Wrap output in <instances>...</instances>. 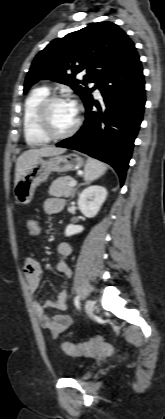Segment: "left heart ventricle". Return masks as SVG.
Returning a JSON list of instances; mask_svg holds the SVG:
<instances>
[{
	"label": "left heart ventricle",
	"instance_id": "obj_1",
	"mask_svg": "<svg viewBox=\"0 0 165 419\" xmlns=\"http://www.w3.org/2000/svg\"><path fill=\"white\" fill-rule=\"evenodd\" d=\"M77 118V111L71 102L54 103L49 111V119L52 130L55 133L68 131Z\"/></svg>",
	"mask_w": 165,
	"mask_h": 419
}]
</instances>
